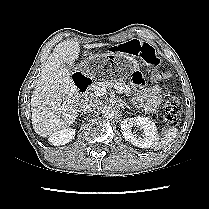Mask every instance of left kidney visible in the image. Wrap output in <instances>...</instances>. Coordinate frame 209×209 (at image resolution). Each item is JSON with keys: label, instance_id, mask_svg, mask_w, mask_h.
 <instances>
[{"label": "left kidney", "instance_id": "obj_1", "mask_svg": "<svg viewBox=\"0 0 209 209\" xmlns=\"http://www.w3.org/2000/svg\"><path fill=\"white\" fill-rule=\"evenodd\" d=\"M137 125L144 131L142 137L132 132V126ZM121 131L125 140L140 148H150L157 145L158 135L155 123L148 117L126 118L121 122Z\"/></svg>", "mask_w": 209, "mask_h": 209}]
</instances>
